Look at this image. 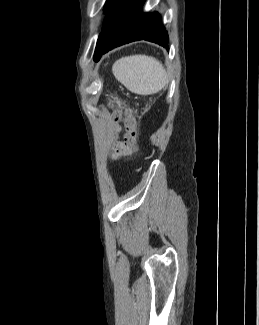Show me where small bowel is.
Listing matches in <instances>:
<instances>
[{"label":"small bowel","mask_w":259,"mask_h":325,"mask_svg":"<svg viewBox=\"0 0 259 325\" xmlns=\"http://www.w3.org/2000/svg\"><path fill=\"white\" fill-rule=\"evenodd\" d=\"M131 151L130 146L127 143H117L116 144V153L114 155L117 158L120 155H127Z\"/></svg>","instance_id":"1"}]
</instances>
